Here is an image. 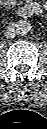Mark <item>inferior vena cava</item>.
<instances>
[{"label": "inferior vena cava", "mask_w": 47, "mask_h": 129, "mask_svg": "<svg viewBox=\"0 0 47 129\" xmlns=\"http://www.w3.org/2000/svg\"><path fill=\"white\" fill-rule=\"evenodd\" d=\"M7 38H13L15 36V29L9 28L5 33Z\"/></svg>", "instance_id": "obj_1"}]
</instances>
